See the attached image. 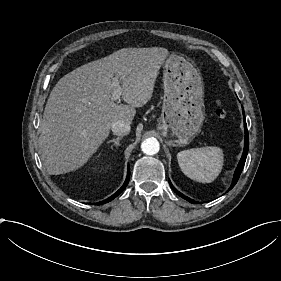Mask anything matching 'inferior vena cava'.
<instances>
[{
  "label": "inferior vena cava",
  "instance_id": "obj_1",
  "mask_svg": "<svg viewBox=\"0 0 281 281\" xmlns=\"http://www.w3.org/2000/svg\"><path fill=\"white\" fill-rule=\"evenodd\" d=\"M112 132L115 135H128L130 132V123L118 120L112 124Z\"/></svg>",
  "mask_w": 281,
  "mask_h": 281
}]
</instances>
